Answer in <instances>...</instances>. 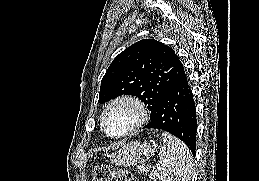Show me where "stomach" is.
<instances>
[{"mask_svg":"<svg viewBox=\"0 0 259 181\" xmlns=\"http://www.w3.org/2000/svg\"><path fill=\"white\" fill-rule=\"evenodd\" d=\"M154 153V148L146 142H131L112 154V162L118 166H134L145 162Z\"/></svg>","mask_w":259,"mask_h":181,"instance_id":"stomach-1","label":"stomach"}]
</instances>
